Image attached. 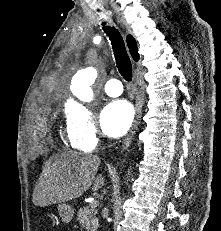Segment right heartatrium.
<instances>
[{"label": "right heart atrium", "mask_w": 221, "mask_h": 231, "mask_svg": "<svg viewBox=\"0 0 221 231\" xmlns=\"http://www.w3.org/2000/svg\"><path fill=\"white\" fill-rule=\"evenodd\" d=\"M67 134L71 143L83 151L99 145V131L92 108L83 103H73L67 110Z\"/></svg>", "instance_id": "d8ad5b80"}]
</instances>
